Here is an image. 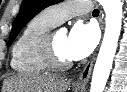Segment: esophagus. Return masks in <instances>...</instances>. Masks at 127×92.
<instances>
[{
	"instance_id": "34e87169",
	"label": "esophagus",
	"mask_w": 127,
	"mask_h": 92,
	"mask_svg": "<svg viewBox=\"0 0 127 92\" xmlns=\"http://www.w3.org/2000/svg\"><path fill=\"white\" fill-rule=\"evenodd\" d=\"M94 61L95 56H93L92 59L83 67L78 78L73 82L74 87L84 88L86 86L92 72Z\"/></svg>"
}]
</instances>
